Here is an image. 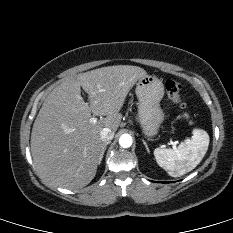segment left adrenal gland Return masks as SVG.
I'll use <instances>...</instances> for the list:
<instances>
[{
	"label": "left adrenal gland",
	"instance_id": "a2214340",
	"mask_svg": "<svg viewBox=\"0 0 233 233\" xmlns=\"http://www.w3.org/2000/svg\"><path fill=\"white\" fill-rule=\"evenodd\" d=\"M142 141H143V144H144V145H145V147H146L147 152L149 153V152H150V150H149V148H148L147 143H146L144 140H142Z\"/></svg>",
	"mask_w": 233,
	"mask_h": 233
}]
</instances>
